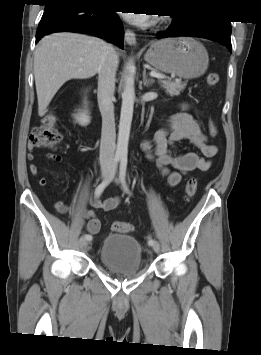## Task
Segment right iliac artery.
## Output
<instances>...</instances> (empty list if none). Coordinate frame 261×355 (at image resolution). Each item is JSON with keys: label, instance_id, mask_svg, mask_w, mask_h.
I'll return each mask as SVG.
<instances>
[{"label": "right iliac artery", "instance_id": "obj_1", "mask_svg": "<svg viewBox=\"0 0 261 355\" xmlns=\"http://www.w3.org/2000/svg\"><path fill=\"white\" fill-rule=\"evenodd\" d=\"M119 157H115L113 160V169L112 172L110 174V176L105 179L103 182H101L97 188L95 189V197L98 198L102 192L104 191V189L110 184V182L113 180V178L115 177L116 171H117V167H118V163H119ZM84 238L87 241H91L92 240V236L89 234H85Z\"/></svg>", "mask_w": 261, "mask_h": 355}]
</instances>
